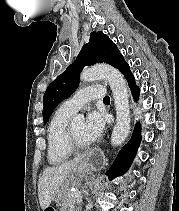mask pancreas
<instances>
[{
	"mask_svg": "<svg viewBox=\"0 0 179 211\" xmlns=\"http://www.w3.org/2000/svg\"><path fill=\"white\" fill-rule=\"evenodd\" d=\"M70 190H64L58 194L56 204L60 207V211H74L73 205L76 203L77 197H73Z\"/></svg>",
	"mask_w": 179,
	"mask_h": 211,
	"instance_id": "obj_1",
	"label": "pancreas"
}]
</instances>
